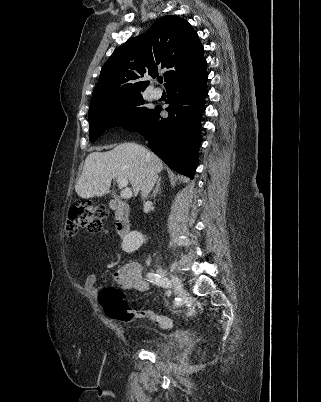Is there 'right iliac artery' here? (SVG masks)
Returning <instances> with one entry per match:
<instances>
[{"label":"right iliac artery","mask_w":321,"mask_h":402,"mask_svg":"<svg viewBox=\"0 0 321 402\" xmlns=\"http://www.w3.org/2000/svg\"><path fill=\"white\" fill-rule=\"evenodd\" d=\"M147 280L150 281L153 284H156L157 286H162L164 288H171V283L167 278H164L160 276L159 274L149 272L146 275ZM168 295L171 294V290L168 289L166 292ZM180 301L179 298H175V302L178 303Z\"/></svg>","instance_id":"right-iliac-artery-1"}]
</instances>
